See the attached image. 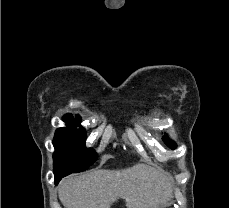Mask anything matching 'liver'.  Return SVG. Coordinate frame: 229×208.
<instances>
[{
    "instance_id": "1",
    "label": "liver",
    "mask_w": 229,
    "mask_h": 208,
    "mask_svg": "<svg viewBox=\"0 0 229 208\" xmlns=\"http://www.w3.org/2000/svg\"><path fill=\"white\" fill-rule=\"evenodd\" d=\"M64 208H111L125 200L127 208H158L172 198L171 180L147 164L127 170H92L67 176L58 186Z\"/></svg>"
}]
</instances>
